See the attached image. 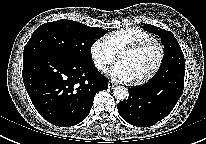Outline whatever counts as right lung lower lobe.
Returning a JSON list of instances; mask_svg holds the SVG:
<instances>
[{"instance_id": "obj_1", "label": "right lung lower lobe", "mask_w": 206, "mask_h": 144, "mask_svg": "<svg viewBox=\"0 0 206 144\" xmlns=\"http://www.w3.org/2000/svg\"><path fill=\"white\" fill-rule=\"evenodd\" d=\"M23 82L38 113L53 125L74 126L89 114L108 80L93 65L53 54L23 56Z\"/></svg>"}]
</instances>
